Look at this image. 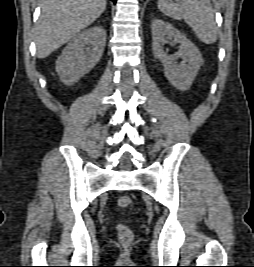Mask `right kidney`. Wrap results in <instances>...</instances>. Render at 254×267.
Listing matches in <instances>:
<instances>
[{"label": "right kidney", "instance_id": "1", "mask_svg": "<svg viewBox=\"0 0 254 267\" xmlns=\"http://www.w3.org/2000/svg\"><path fill=\"white\" fill-rule=\"evenodd\" d=\"M106 31L102 26L90 27L78 34L56 61V71L65 85H72L87 74L102 57Z\"/></svg>", "mask_w": 254, "mask_h": 267}]
</instances>
